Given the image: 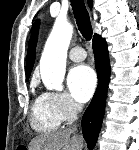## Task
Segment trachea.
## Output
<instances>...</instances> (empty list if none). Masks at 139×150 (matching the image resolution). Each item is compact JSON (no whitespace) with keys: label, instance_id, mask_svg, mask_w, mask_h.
<instances>
[{"label":"trachea","instance_id":"3493384b","mask_svg":"<svg viewBox=\"0 0 139 150\" xmlns=\"http://www.w3.org/2000/svg\"><path fill=\"white\" fill-rule=\"evenodd\" d=\"M70 2L79 31L86 40H90L93 30L84 0H70Z\"/></svg>","mask_w":139,"mask_h":150}]
</instances>
